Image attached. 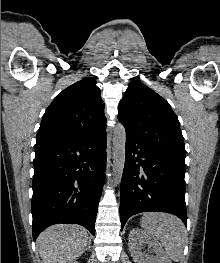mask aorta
I'll list each match as a JSON object with an SVG mask.
<instances>
[{
    "label": "aorta",
    "mask_w": 220,
    "mask_h": 263,
    "mask_svg": "<svg viewBox=\"0 0 220 263\" xmlns=\"http://www.w3.org/2000/svg\"><path fill=\"white\" fill-rule=\"evenodd\" d=\"M126 131L118 124L113 130V176L114 183L120 184L125 164Z\"/></svg>",
    "instance_id": "obj_1"
}]
</instances>
